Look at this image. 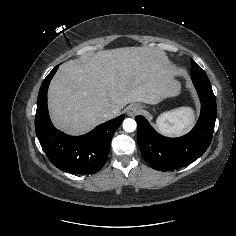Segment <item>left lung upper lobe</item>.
Masks as SVG:
<instances>
[{
    "instance_id": "obj_1",
    "label": "left lung upper lobe",
    "mask_w": 236,
    "mask_h": 236,
    "mask_svg": "<svg viewBox=\"0 0 236 236\" xmlns=\"http://www.w3.org/2000/svg\"><path fill=\"white\" fill-rule=\"evenodd\" d=\"M191 75H206L205 71L194 60H191Z\"/></svg>"
}]
</instances>
